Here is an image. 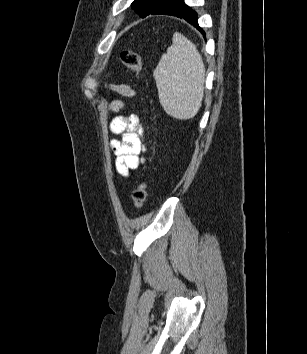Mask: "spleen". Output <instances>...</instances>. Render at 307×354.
<instances>
[{
  "instance_id": "3e777b00",
  "label": "spleen",
  "mask_w": 307,
  "mask_h": 354,
  "mask_svg": "<svg viewBox=\"0 0 307 354\" xmlns=\"http://www.w3.org/2000/svg\"><path fill=\"white\" fill-rule=\"evenodd\" d=\"M160 103L173 118L187 120L199 111L204 96L205 65L196 46L181 33L153 72Z\"/></svg>"
}]
</instances>
